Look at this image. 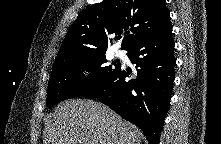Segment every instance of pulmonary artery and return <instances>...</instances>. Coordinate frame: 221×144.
<instances>
[{
  "mask_svg": "<svg viewBox=\"0 0 221 144\" xmlns=\"http://www.w3.org/2000/svg\"><path fill=\"white\" fill-rule=\"evenodd\" d=\"M115 54L117 57H124V55H125L122 50H116Z\"/></svg>",
  "mask_w": 221,
  "mask_h": 144,
  "instance_id": "obj_1",
  "label": "pulmonary artery"
}]
</instances>
